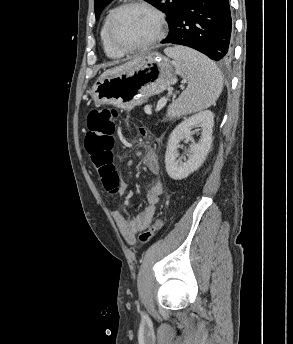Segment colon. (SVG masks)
<instances>
[{
	"label": "colon",
	"mask_w": 293,
	"mask_h": 344,
	"mask_svg": "<svg viewBox=\"0 0 293 344\" xmlns=\"http://www.w3.org/2000/svg\"><path fill=\"white\" fill-rule=\"evenodd\" d=\"M118 113L114 109H93L87 115L88 133L85 138V148L91 154L98 169L112 165V148L115 143V127ZM145 135V129L140 128ZM105 188L114 193L118 191V183H109L102 177ZM162 227V220L157 218L154 223L139 236L141 243L148 242Z\"/></svg>",
	"instance_id": "obj_1"
}]
</instances>
